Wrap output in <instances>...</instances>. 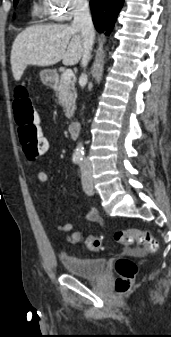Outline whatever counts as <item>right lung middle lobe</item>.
I'll list each match as a JSON object with an SVG mask.
<instances>
[{"label": "right lung middle lobe", "mask_w": 171, "mask_h": 337, "mask_svg": "<svg viewBox=\"0 0 171 337\" xmlns=\"http://www.w3.org/2000/svg\"><path fill=\"white\" fill-rule=\"evenodd\" d=\"M18 3V0H14V5H16Z\"/></svg>", "instance_id": "obj_1"}]
</instances>
